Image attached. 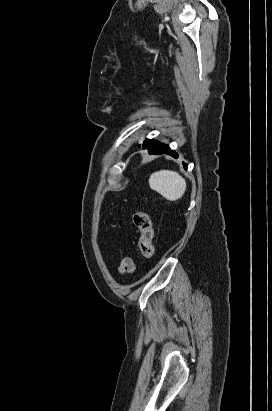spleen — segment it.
Wrapping results in <instances>:
<instances>
[{"label":"spleen","mask_w":272,"mask_h":411,"mask_svg":"<svg viewBox=\"0 0 272 411\" xmlns=\"http://www.w3.org/2000/svg\"><path fill=\"white\" fill-rule=\"evenodd\" d=\"M150 188L169 201L180 199L186 190V181L179 173L171 170H160L151 174Z\"/></svg>","instance_id":"obj_1"}]
</instances>
